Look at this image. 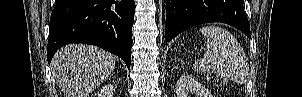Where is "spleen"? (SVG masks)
<instances>
[{
  "mask_svg": "<svg viewBox=\"0 0 302 97\" xmlns=\"http://www.w3.org/2000/svg\"><path fill=\"white\" fill-rule=\"evenodd\" d=\"M207 37L204 57L193 64L199 73L214 71L237 83L247 81L249 65L237 39L226 29L210 25L200 28Z\"/></svg>",
  "mask_w": 302,
  "mask_h": 97,
  "instance_id": "spleen-1",
  "label": "spleen"
}]
</instances>
